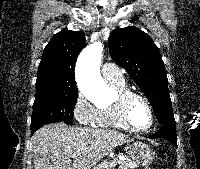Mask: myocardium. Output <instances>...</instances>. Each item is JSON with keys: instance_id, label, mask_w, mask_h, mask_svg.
Masks as SVG:
<instances>
[{"instance_id": "myocardium-1", "label": "myocardium", "mask_w": 200, "mask_h": 169, "mask_svg": "<svg viewBox=\"0 0 200 169\" xmlns=\"http://www.w3.org/2000/svg\"><path fill=\"white\" fill-rule=\"evenodd\" d=\"M133 99H140L142 100L150 113V122L146 127L143 128H137L135 127L129 118V105ZM116 105L118 108L119 116L123 124L126 126L127 129H129L132 132H146L148 131L154 124L155 120V114H154V109L152 107L151 102L148 100L146 96H144L142 93L132 91V90H126L124 92H121L118 94L117 100H116Z\"/></svg>"}]
</instances>
